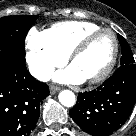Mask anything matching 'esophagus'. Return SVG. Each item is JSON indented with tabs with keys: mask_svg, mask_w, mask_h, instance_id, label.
I'll list each match as a JSON object with an SVG mask.
<instances>
[{
	"mask_svg": "<svg viewBox=\"0 0 136 136\" xmlns=\"http://www.w3.org/2000/svg\"><path fill=\"white\" fill-rule=\"evenodd\" d=\"M49 89L51 94H55L60 88L55 85H51Z\"/></svg>",
	"mask_w": 136,
	"mask_h": 136,
	"instance_id": "1",
	"label": "esophagus"
}]
</instances>
